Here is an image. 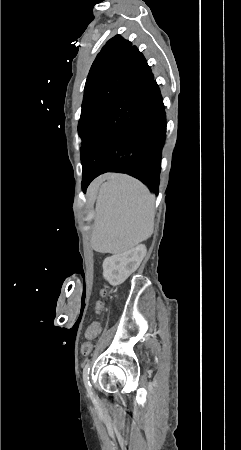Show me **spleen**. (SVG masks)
I'll use <instances>...</instances> for the list:
<instances>
[{
  "mask_svg": "<svg viewBox=\"0 0 241 450\" xmlns=\"http://www.w3.org/2000/svg\"><path fill=\"white\" fill-rule=\"evenodd\" d=\"M155 196L127 174H112L100 186L91 248L95 253L124 254L153 234ZM114 221V222H113Z\"/></svg>",
  "mask_w": 241,
  "mask_h": 450,
  "instance_id": "3e777b00",
  "label": "spleen"
}]
</instances>
